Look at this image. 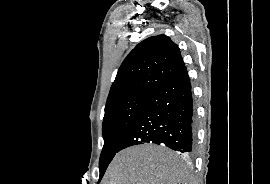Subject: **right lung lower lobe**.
Returning <instances> with one entry per match:
<instances>
[{"mask_svg": "<svg viewBox=\"0 0 270 184\" xmlns=\"http://www.w3.org/2000/svg\"><path fill=\"white\" fill-rule=\"evenodd\" d=\"M196 140V116L190 78L182 68L151 94L119 146L155 143L191 153Z\"/></svg>", "mask_w": 270, "mask_h": 184, "instance_id": "98d812e1", "label": "right lung lower lobe"}]
</instances>
